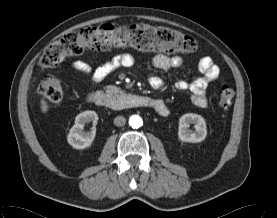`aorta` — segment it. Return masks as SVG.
Segmentation results:
<instances>
[{"mask_svg":"<svg viewBox=\"0 0 277 218\" xmlns=\"http://www.w3.org/2000/svg\"><path fill=\"white\" fill-rule=\"evenodd\" d=\"M129 125L133 128V129H137L139 127H141L143 125V121L142 118L139 115H132L129 118Z\"/></svg>","mask_w":277,"mask_h":218,"instance_id":"aorta-1","label":"aorta"}]
</instances>
